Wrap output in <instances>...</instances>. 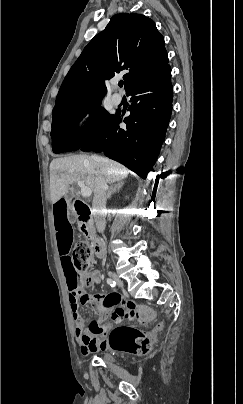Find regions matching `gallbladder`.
Wrapping results in <instances>:
<instances>
[{
	"label": "gallbladder",
	"mask_w": 243,
	"mask_h": 404,
	"mask_svg": "<svg viewBox=\"0 0 243 404\" xmlns=\"http://www.w3.org/2000/svg\"><path fill=\"white\" fill-rule=\"evenodd\" d=\"M74 196H75V194H74L73 188H68V190H67V192H66V194L64 196L67 206L71 205V202H72ZM68 217H69V220L72 222L74 220L75 214L70 211V213L68 214Z\"/></svg>",
	"instance_id": "gallbladder-1"
}]
</instances>
